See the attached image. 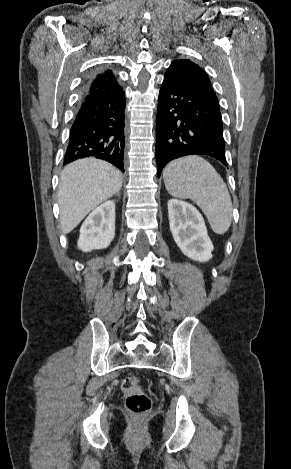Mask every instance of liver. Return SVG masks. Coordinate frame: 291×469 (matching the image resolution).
<instances>
[{
	"label": "liver",
	"instance_id": "liver-1",
	"mask_svg": "<svg viewBox=\"0 0 291 469\" xmlns=\"http://www.w3.org/2000/svg\"><path fill=\"white\" fill-rule=\"evenodd\" d=\"M122 187L120 171L95 158L77 160L60 176L58 203L64 234L71 232L85 216Z\"/></svg>",
	"mask_w": 291,
	"mask_h": 469
}]
</instances>
